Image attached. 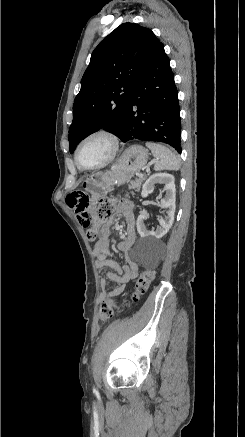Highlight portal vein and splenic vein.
I'll return each instance as SVG.
<instances>
[{
    "label": "portal vein and splenic vein",
    "instance_id": "portal-vein-and-splenic-vein-1",
    "mask_svg": "<svg viewBox=\"0 0 245 437\" xmlns=\"http://www.w3.org/2000/svg\"><path fill=\"white\" fill-rule=\"evenodd\" d=\"M150 164L147 165L146 169L149 170ZM139 177H142V174H138Z\"/></svg>",
    "mask_w": 245,
    "mask_h": 437
}]
</instances>
